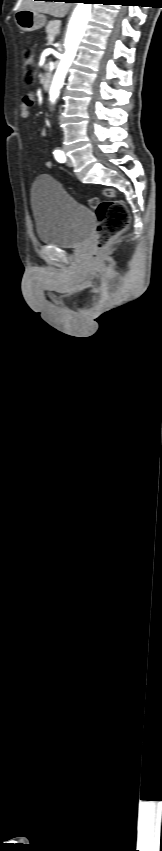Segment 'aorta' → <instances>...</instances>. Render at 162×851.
<instances>
[{"label": "aorta", "instance_id": "1", "mask_svg": "<svg viewBox=\"0 0 162 851\" xmlns=\"http://www.w3.org/2000/svg\"><path fill=\"white\" fill-rule=\"evenodd\" d=\"M90 16L91 4L78 3L69 22L65 38V53L56 69L50 87L49 94L52 102H54L60 94V89L64 84L67 71L75 58L78 45L85 33Z\"/></svg>", "mask_w": 162, "mask_h": 851}]
</instances>
